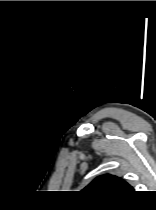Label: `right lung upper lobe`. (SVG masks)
Masks as SVG:
<instances>
[{
  "instance_id": "right-lung-upper-lobe-1",
  "label": "right lung upper lobe",
  "mask_w": 156,
  "mask_h": 210,
  "mask_svg": "<svg viewBox=\"0 0 156 210\" xmlns=\"http://www.w3.org/2000/svg\"><path fill=\"white\" fill-rule=\"evenodd\" d=\"M84 191L97 195L118 196L133 192V188L122 178L107 174L97 177Z\"/></svg>"
}]
</instances>
